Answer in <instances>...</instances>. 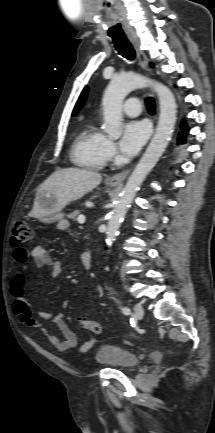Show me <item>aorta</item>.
I'll return each mask as SVG.
<instances>
[{"label":"aorta","instance_id":"762f6f07","mask_svg":"<svg viewBox=\"0 0 215 433\" xmlns=\"http://www.w3.org/2000/svg\"><path fill=\"white\" fill-rule=\"evenodd\" d=\"M152 85L160 103V116L156 132L144 155L129 177L121 196L110 214L106 242L111 246L135 194L148 173L158 162L168 145L176 122L177 105L171 90L159 82L150 81L137 74L115 76L103 96L104 131L110 138H119L122 133V103L126 95L147 85Z\"/></svg>","mask_w":215,"mask_h":433}]
</instances>
